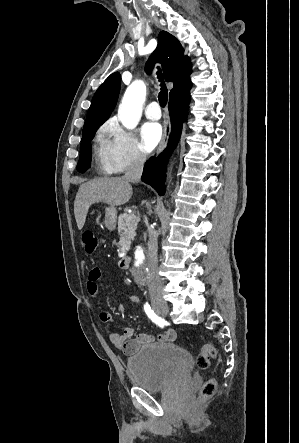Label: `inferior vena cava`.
Segmentation results:
<instances>
[{
	"instance_id": "obj_1",
	"label": "inferior vena cava",
	"mask_w": 299,
	"mask_h": 443,
	"mask_svg": "<svg viewBox=\"0 0 299 443\" xmlns=\"http://www.w3.org/2000/svg\"><path fill=\"white\" fill-rule=\"evenodd\" d=\"M145 160L146 157L143 154H135L123 178L130 182L137 183L141 178ZM148 233V287L150 296L157 297L163 293L162 280L158 274V242L157 235L151 227H148Z\"/></svg>"
}]
</instances>
